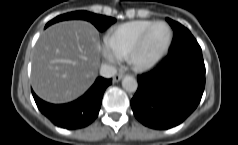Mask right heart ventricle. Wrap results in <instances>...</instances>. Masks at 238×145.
I'll list each match as a JSON object with an SVG mask.
<instances>
[{"label":"right heart ventricle","instance_id":"obj_1","mask_svg":"<svg viewBox=\"0 0 238 145\" xmlns=\"http://www.w3.org/2000/svg\"><path fill=\"white\" fill-rule=\"evenodd\" d=\"M137 20L119 25L104 36V46L113 56L124 59L141 34L153 23Z\"/></svg>","mask_w":238,"mask_h":145}]
</instances>
